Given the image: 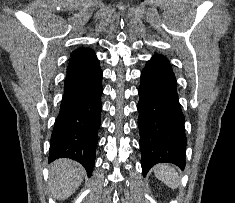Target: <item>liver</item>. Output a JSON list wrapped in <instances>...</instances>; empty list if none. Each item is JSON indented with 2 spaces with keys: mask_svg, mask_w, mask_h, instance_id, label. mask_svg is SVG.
<instances>
[{
  "mask_svg": "<svg viewBox=\"0 0 235 203\" xmlns=\"http://www.w3.org/2000/svg\"><path fill=\"white\" fill-rule=\"evenodd\" d=\"M49 173V186L53 197L65 200L79 188L85 170L73 160L59 159L51 164Z\"/></svg>",
  "mask_w": 235,
  "mask_h": 203,
  "instance_id": "obj_1",
  "label": "liver"
}]
</instances>
